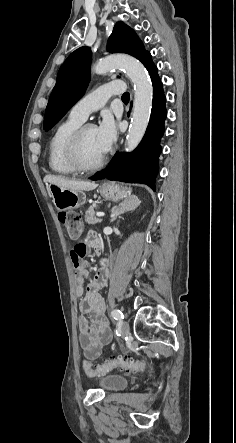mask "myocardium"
<instances>
[{
  "instance_id": "myocardium-1",
  "label": "myocardium",
  "mask_w": 236,
  "mask_h": 443,
  "mask_svg": "<svg viewBox=\"0 0 236 443\" xmlns=\"http://www.w3.org/2000/svg\"><path fill=\"white\" fill-rule=\"evenodd\" d=\"M95 127L92 123L81 124L70 136L66 143L65 155L69 165L79 173H91L100 169L106 159L107 154L104 153L94 164L85 165L80 158V145L85 132L89 129Z\"/></svg>"
}]
</instances>
